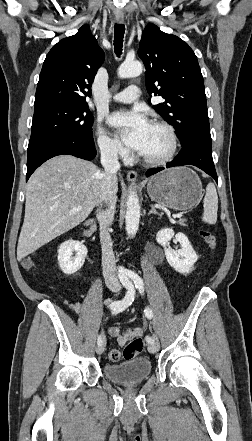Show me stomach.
Masks as SVG:
<instances>
[{
	"label": "stomach",
	"instance_id": "0dacf381",
	"mask_svg": "<svg viewBox=\"0 0 252 441\" xmlns=\"http://www.w3.org/2000/svg\"><path fill=\"white\" fill-rule=\"evenodd\" d=\"M150 198L168 208L185 211L202 196V183L188 167H175L151 177L147 184Z\"/></svg>",
	"mask_w": 252,
	"mask_h": 441
}]
</instances>
